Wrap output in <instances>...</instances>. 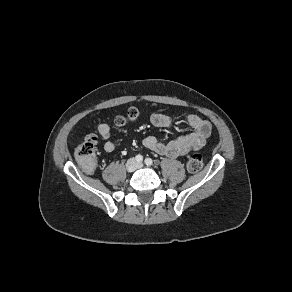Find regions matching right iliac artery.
Listing matches in <instances>:
<instances>
[{"instance_id":"1","label":"right iliac artery","mask_w":292,"mask_h":292,"mask_svg":"<svg viewBox=\"0 0 292 292\" xmlns=\"http://www.w3.org/2000/svg\"><path fill=\"white\" fill-rule=\"evenodd\" d=\"M135 159H136L137 162H142V160H143V156L140 155V154H138V155L135 157Z\"/></svg>"}]
</instances>
